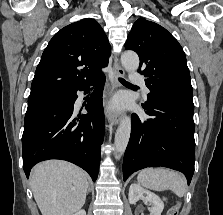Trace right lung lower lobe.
I'll return each instance as SVG.
<instances>
[{
  "mask_svg": "<svg viewBox=\"0 0 223 215\" xmlns=\"http://www.w3.org/2000/svg\"><path fill=\"white\" fill-rule=\"evenodd\" d=\"M104 81L102 73L95 81L78 89L87 92L89 86L96 85L85 105L89 114L72 116L77 90L70 98L27 109L22 135L23 168L27 178L38 162L62 159L80 166L96 181L104 138Z\"/></svg>",
  "mask_w": 223,
  "mask_h": 215,
  "instance_id": "obj_1",
  "label": "right lung lower lobe"
}]
</instances>
